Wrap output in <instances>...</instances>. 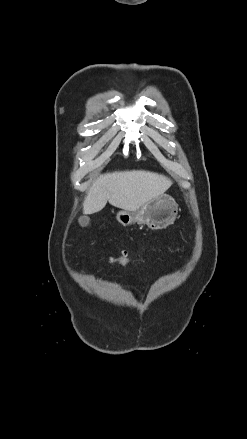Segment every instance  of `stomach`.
I'll return each instance as SVG.
<instances>
[{"instance_id": "1", "label": "stomach", "mask_w": 247, "mask_h": 439, "mask_svg": "<svg viewBox=\"0 0 247 439\" xmlns=\"http://www.w3.org/2000/svg\"><path fill=\"white\" fill-rule=\"evenodd\" d=\"M177 214L178 204L174 198L167 194H161L134 212L129 210L119 211L116 214V219L123 226L138 223L145 224L152 230H158L171 225Z\"/></svg>"}]
</instances>
